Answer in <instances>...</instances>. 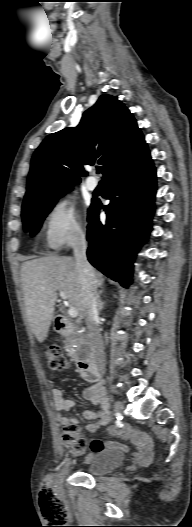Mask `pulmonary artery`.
<instances>
[{
  "label": "pulmonary artery",
  "mask_w": 192,
  "mask_h": 527,
  "mask_svg": "<svg viewBox=\"0 0 192 527\" xmlns=\"http://www.w3.org/2000/svg\"><path fill=\"white\" fill-rule=\"evenodd\" d=\"M85 185L89 191H94L97 188V181L93 177H88L86 179Z\"/></svg>",
  "instance_id": "e3ab8cb5"
}]
</instances>
